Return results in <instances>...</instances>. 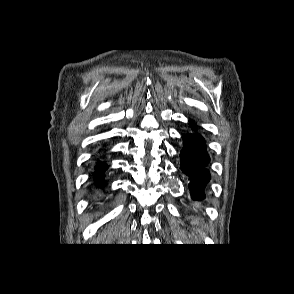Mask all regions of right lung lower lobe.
<instances>
[{
  "mask_svg": "<svg viewBox=\"0 0 294 294\" xmlns=\"http://www.w3.org/2000/svg\"><path fill=\"white\" fill-rule=\"evenodd\" d=\"M107 169V165L102 162H98L96 165V174H95V183L101 185L104 183L102 176L104 175V171Z\"/></svg>",
  "mask_w": 294,
  "mask_h": 294,
  "instance_id": "obj_1",
  "label": "right lung lower lobe"
}]
</instances>
